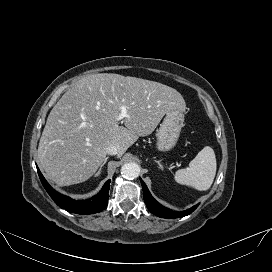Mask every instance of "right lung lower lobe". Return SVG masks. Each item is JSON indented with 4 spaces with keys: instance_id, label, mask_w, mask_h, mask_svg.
I'll use <instances>...</instances> for the list:
<instances>
[{
    "instance_id": "98d812e1",
    "label": "right lung lower lobe",
    "mask_w": 272,
    "mask_h": 272,
    "mask_svg": "<svg viewBox=\"0 0 272 272\" xmlns=\"http://www.w3.org/2000/svg\"><path fill=\"white\" fill-rule=\"evenodd\" d=\"M37 170L40 180L50 197L59 207L66 211L77 214H93L101 212L108 204L110 180L104 184L102 190L96 196L90 199L76 201L55 191L45 180L40 170L38 168Z\"/></svg>"
}]
</instances>
